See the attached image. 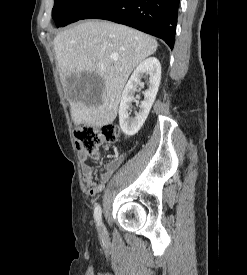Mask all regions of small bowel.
I'll return each mask as SVG.
<instances>
[{
    "instance_id": "1",
    "label": "small bowel",
    "mask_w": 247,
    "mask_h": 275,
    "mask_svg": "<svg viewBox=\"0 0 247 275\" xmlns=\"http://www.w3.org/2000/svg\"><path fill=\"white\" fill-rule=\"evenodd\" d=\"M88 158L89 154L87 152L84 151L81 153L83 180L89 190L90 195L94 196L103 190L104 184L111 178L113 173L122 164L124 157L119 156L108 162L102 170L98 180H95V172L93 167L88 163Z\"/></svg>"
}]
</instances>
